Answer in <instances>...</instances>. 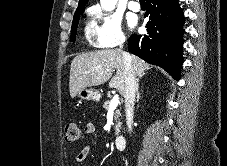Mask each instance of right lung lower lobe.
Instances as JSON below:
<instances>
[{
	"mask_svg": "<svg viewBox=\"0 0 227 166\" xmlns=\"http://www.w3.org/2000/svg\"><path fill=\"white\" fill-rule=\"evenodd\" d=\"M147 34H133L128 49L148 63L179 79L181 72L184 16L178 0H146Z\"/></svg>",
	"mask_w": 227,
	"mask_h": 166,
	"instance_id": "right-lung-lower-lobe-1",
	"label": "right lung lower lobe"
}]
</instances>
